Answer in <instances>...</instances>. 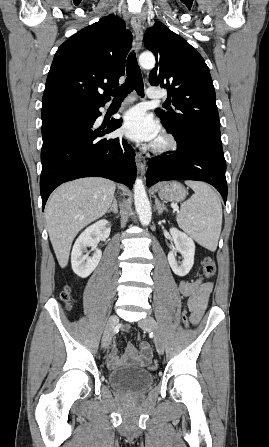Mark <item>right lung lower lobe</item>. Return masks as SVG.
Wrapping results in <instances>:
<instances>
[{"instance_id":"1","label":"right lung lower lobe","mask_w":269,"mask_h":447,"mask_svg":"<svg viewBox=\"0 0 269 447\" xmlns=\"http://www.w3.org/2000/svg\"><path fill=\"white\" fill-rule=\"evenodd\" d=\"M106 102L86 100L42 109V209L57 186L81 177H105L132 188L137 174L133 148L125 139L103 138L122 121H112L102 131L92 129Z\"/></svg>"}]
</instances>
